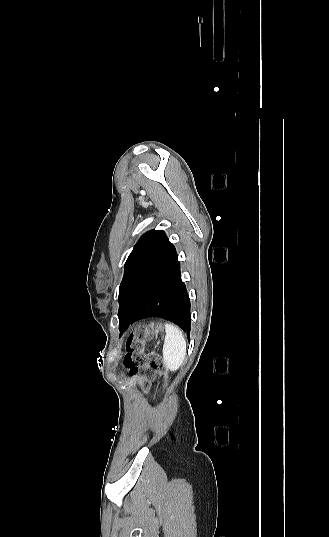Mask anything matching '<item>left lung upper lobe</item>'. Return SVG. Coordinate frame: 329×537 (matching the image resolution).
<instances>
[{
	"label": "left lung upper lobe",
	"instance_id": "5c2ea615",
	"mask_svg": "<svg viewBox=\"0 0 329 537\" xmlns=\"http://www.w3.org/2000/svg\"><path fill=\"white\" fill-rule=\"evenodd\" d=\"M177 252L162 230L145 233L134 246L119 287V323L131 311L155 276Z\"/></svg>",
	"mask_w": 329,
	"mask_h": 537
}]
</instances>
